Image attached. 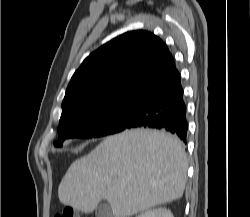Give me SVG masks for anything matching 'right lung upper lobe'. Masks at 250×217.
<instances>
[{
  "label": "right lung upper lobe",
  "mask_w": 250,
  "mask_h": 217,
  "mask_svg": "<svg viewBox=\"0 0 250 217\" xmlns=\"http://www.w3.org/2000/svg\"><path fill=\"white\" fill-rule=\"evenodd\" d=\"M175 71L161 39L147 31L124 33L91 53L74 73L59 122L88 109L136 100Z\"/></svg>",
  "instance_id": "obj_1"
}]
</instances>
